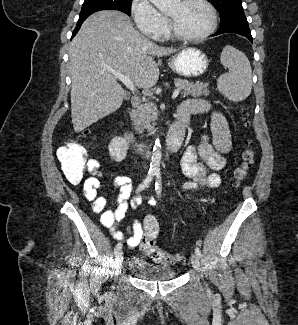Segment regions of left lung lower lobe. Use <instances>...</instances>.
<instances>
[{
  "label": "left lung lower lobe",
  "instance_id": "1",
  "mask_svg": "<svg viewBox=\"0 0 298 325\" xmlns=\"http://www.w3.org/2000/svg\"><path fill=\"white\" fill-rule=\"evenodd\" d=\"M229 32L243 35L246 38H248L251 42H253L251 32L249 29V25H248L245 15L235 17L223 24H220L219 29L213 36H216V35H219L222 33H229Z\"/></svg>",
  "mask_w": 298,
  "mask_h": 325
}]
</instances>
